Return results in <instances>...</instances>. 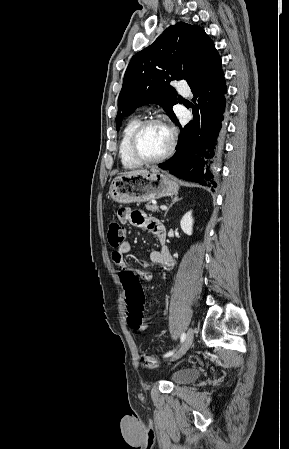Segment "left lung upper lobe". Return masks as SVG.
<instances>
[{
	"label": "left lung upper lobe",
	"instance_id": "1",
	"mask_svg": "<svg viewBox=\"0 0 289 449\" xmlns=\"http://www.w3.org/2000/svg\"><path fill=\"white\" fill-rule=\"evenodd\" d=\"M213 50L214 44L203 29L179 22L136 53L127 67L118 98L116 129L124 115L151 103L160 105L174 122L177 118L172 107L178 102L177 92L169 83L181 79L191 83Z\"/></svg>",
	"mask_w": 289,
	"mask_h": 449
}]
</instances>
